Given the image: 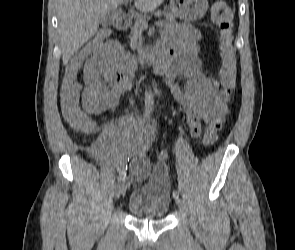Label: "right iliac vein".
I'll return each mask as SVG.
<instances>
[{
  "mask_svg": "<svg viewBox=\"0 0 295 250\" xmlns=\"http://www.w3.org/2000/svg\"><path fill=\"white\" fill-rule=\"evenodd\" d=\"M127 186H128V181L126 179L120 181V183L117 186L116 193H115L116 199L120 198L124 194V192L127 189Z\"/></svg>",
  "mask_w": 295,
  "mask_h": 250,
  "instance_id": "1",
  "label": "right iliac vein"
}]
</instances>
